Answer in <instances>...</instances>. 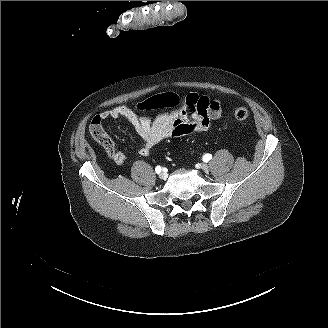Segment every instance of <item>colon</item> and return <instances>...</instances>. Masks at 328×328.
I'll list each match as a JSON object with an SVG mask.
<instances>
[{
    "label": "colon",
    "instance_id": "5ec220e1",
    "mask_svg": "<svg viewBox=\"0 0 328 328\" xmlns=\"http://www.w3.org/2000/svg\"><path fill=\"white\" fill-rule=\"evenodd\" d=\"M181 99L174 93H162L150 98H147L136 105L139 110H153L158 108L175 107L178 106ZM234 118L238 121L246 120L249 117V111L245 107H238L234 110ZM92 138L106 151L114 147L113 141L105 132L102 119L99 115L95 116L89 127Z\"/></svg>",
    "mask_w": 328,
    "mask_h": 328
}]
</instances>
